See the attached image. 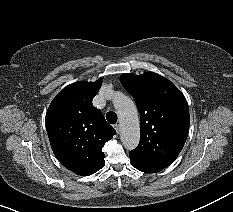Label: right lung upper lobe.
I'll use <instances>...</instances> for the list:
<instances>
[{"label": "right lung upper lobe", "instance_id": "cb5924a9", "mask_svg": "<svg viewBox=\"0 0 233 212\" xmlns=\"http://www.w3.org/2000/svg\"><path fill=\"white\" fill-rule=\"evenodd\" d=\"M79 81L66 86L51 102L46 113V129L60 163L82 176L91 175L104 164L102 148L116 131L92 100L102 85Z\"/></svg>", "mask_w": 233, "mask_h": 212}]
</instances>
